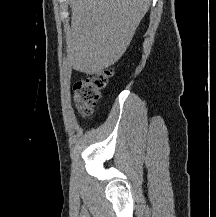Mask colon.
I'll use <instances>...</instances> for the list:
<instances>
[{
  "label": "colon",
  "instance_id": "1",
  "mask_svg": "<svg viewBox=\"0 0 216 217\" xmlns=\"http://www.w3.org/2000/svg\"><path fill=\"white\" fill-rule=\"evenodd\" d=\"M112 76V71H95L90 73L85 80L79 81L74 87V100L78 113L86 118L91 115L97 103L100 91L104 89Z\"/></svg>",
  "mask_w": 216,
  "mask_h": 217
}]
</instances>
